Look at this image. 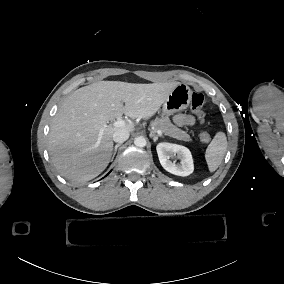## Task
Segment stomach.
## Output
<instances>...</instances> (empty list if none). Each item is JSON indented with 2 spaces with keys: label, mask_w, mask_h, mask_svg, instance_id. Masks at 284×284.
Here are the masks:
<instances>
[{
  "label": "stomach",
  "mask_w": 284,
  "mask_h": 284,
  "mask_svg": "<svg viewBox=\"0 0 284 284\" xmlns=\"http://www.w3.org/2000/svg\"><path fill=\"white\" fill-rule=\"evenodd\" d=\"M192 101V91L184 83L178 85L163 103L162 111L165 116L174 115L189 108Z\"/></svg>",
  "instance_id": "obj_1"
}]
</instances>
